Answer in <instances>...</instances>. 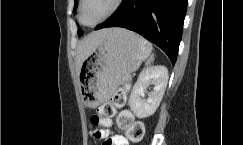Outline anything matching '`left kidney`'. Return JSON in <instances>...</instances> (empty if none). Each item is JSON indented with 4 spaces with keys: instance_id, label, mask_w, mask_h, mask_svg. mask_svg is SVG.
<instances>
[{
    "instance_id": "left-kidney-1",
    "label": "left kidney",
    "mask_w": 243,
    "mask_h": 145,
    "mask_svg": "<svg viewBox=\"0 0 243 145\" xmlns=\"http://www.w3.org/2000/svg\"><path fill=\"white\" fill-rule=\"evenodd\" d=\"M168 78L165 66H154L141 71L129 97V107L136 117L143 119L155 113L163 98ZM149 85H153V88L145 99Z\"/></svg>"
}]
</instances>
